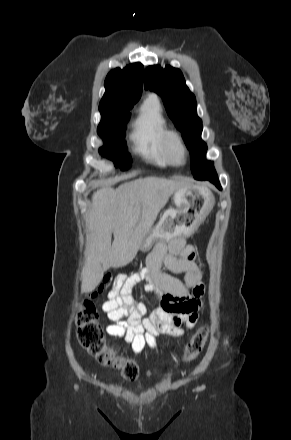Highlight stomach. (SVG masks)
I'll return each mask as SVG.
<instances>
[{"label":"stomach","mask_w":291,"mask_h":440,"mask_svg":"<svg viewBox=\"0 0 291 440\" xmlns=\"http://www.w3.org/2000/svg\"><path fill=\"white\" fill-rule=\"evenodd\" d=\"M176 208L165 211L163 217L148 234L141 248L148 249L159 239L190 236L213 209L215 198L203 185L185 184L172 195Z\"/></svg>","instance_id":"stomach-1"}]
</instances>
